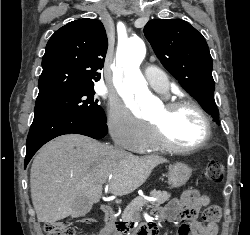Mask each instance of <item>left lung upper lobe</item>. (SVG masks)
Instances as JSON below:
<instances>
[{
  "instance_id": "left-lung-upper-lobe-1",
  "label": "left lung upper lobe",
  "mask_w": 250,
  "mask_h": 235,
  "mask_svg": "<svg viewBox=\"0 0 250 235\" xmlns=\"http://www.w3.org/2000/svg\"><path fill=\"white\" fill-rule=\"evenodd\" d=\"M144 35L163 66L219 123L212 57L203 35L182 19L151 20Z\"/></svg>"
}]
</instances>
